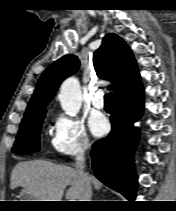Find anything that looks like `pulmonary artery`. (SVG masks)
I'll return each mask as SVG.
<instances>
[{"instance_id":"obj_1","label":"pulmonary artery","mask_w":176,"mask_h":211,"mask_svg":"<svg viewBox=\"0 0 176 211\" xmlns=\"http://www.w3.org/2000/svg\"><path fill=\"white\" fill-rule=\"evenodd\" d=\"M92 104L97 109H102L105 105L104 102V92L103 90L99 89L95 92L92 98Z\"/></svg>"}]
</instances>
